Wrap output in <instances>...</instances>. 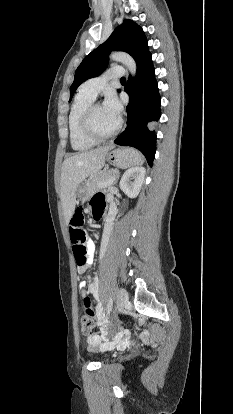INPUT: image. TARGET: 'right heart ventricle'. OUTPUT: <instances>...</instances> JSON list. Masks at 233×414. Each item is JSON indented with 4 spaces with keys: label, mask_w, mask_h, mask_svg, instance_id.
<instances>
[{
    "label": "right heart ventricle",
    "mask_w": 233,
    "mask_h": 414,
    "mask_svg": "<svg viewBox=\"0 0 233 414\" xmlns=\"http://www.w3.org/2000/svg\"><path fill=\"white\" fill-rule=\"evenodd\" d=\"M94 98L85 94L81 90L74 97L68 114V132L71 147L77 151H84L93 147L96 142L86 138L80 130V118L84 109L93 101Z\"/></svg>",
    "instance_id": "e07e8e85"
}]
</instances>
